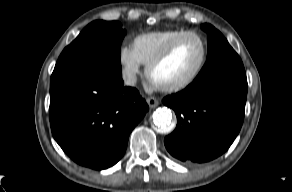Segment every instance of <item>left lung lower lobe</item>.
<instances>
[{
	"instance_id": "obj_1",
	"label": "left lung lower lobe",
	"mask_w": 292,
	"mask_h": 192,
	"mask_svg": "<svg viewBox=\"0 0 292 192\" xmlns=\"http://www.w3.org/2000/svg\"><path fill=\"white\" fill-rule=\"evenodd\" d=\"M245 73H226L194 80L163 103L177 116L165 137L168 152L183 162L202 163L222 155L238 135L247 96Z\"/></svg>"
}]
</instances>
